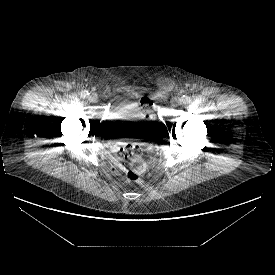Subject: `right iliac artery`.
<instances>
[{
    "label": "right iliac artery",
    "instance_id": "right-iliac-artery-1",
    "mask_svg": "<svg viewBox=\"0 0 275 275\" xmlns=\"http://www.w3.org/2000/svg\"><path fill=\"white\" fill-rule=\"evenodd\" d=\"M88 95H89V93H88V91H86V90H84V91H82L81 93H80V96L82 97V98H87L88 97Z\"/></svg>",
    "mask_w": 275,
    "mask_h": 275
}]
</instances>
